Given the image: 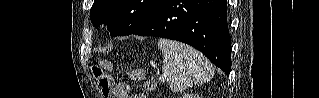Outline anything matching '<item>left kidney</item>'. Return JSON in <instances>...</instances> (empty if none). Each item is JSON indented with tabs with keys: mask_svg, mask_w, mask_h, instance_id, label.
<instances>
[{
	"mask_svg": "<svg viewBox=\"0 0 319 98\" xmlns=\"http://www.w3.org/2000/svg\"><path fill=\"white\" fill-rule=\"evenodd\" d=\"M182 98H199L198 94H184Z\"/></svg>",
	"mask_w": 319,
	"mask_h": 98,
	"instance_id": "left-kidney-1",
	"label": "left kidney"
}]
</instances>
